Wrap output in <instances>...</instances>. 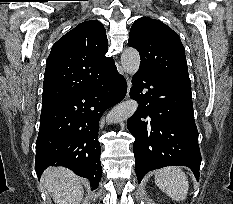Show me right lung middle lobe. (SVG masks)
Instances as JSON below:
<instances>
[{"instance_id":"dd1d6c3e","label":"right lung middle lobe","mask_w":233,"mask_h":204,"mask_svg":"<svg viewBox=\"0 0 233 204\" xmlns=\"http://www.w3.org/2000/svg\"><path fill=\"white\" fill-rule=\"evenodd\" d=\"M51 105H42V110H45V109L49 108Z\"/></svg>"}]
</instances>
